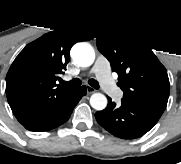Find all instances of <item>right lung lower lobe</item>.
I'll return each mask as SVG.
<instances>
[{
  "mask_svg": "<svg viewBox=\"0 0 181 164\" xmlns=\"http://www.w3.org/2000/svg\"><path fill=\"white\" fill-rule=\"evenodd\" d=\"M86 93V86L71 88L50 103L23 104L11 109L26 129L34 132L48 131L66 122Z\"/></svg>",
  "mask_w": 181,
  "mask_h": 164,
  "instance_id": "98d812e1",
  "label": "right lung lower lobe"
}]
</instances>
